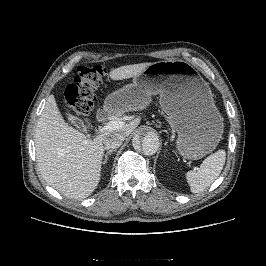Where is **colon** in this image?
<instances>
[{"instance_id":"colon-1","label":"colon","mask_w":266,"mask_h":266,"mask_svg":"<svg viewBox=\"0 0 266 266\" xmlns=\"http://www.w3.org/2000/svg\"><path fill=\"white\" fill-rule=\"evenodd\" d=\"M106 77L103 65H80L73 81L66 87L65 101L73 114L86 115L91 111L95 91Z\"/></svg>"}]
</instances>
